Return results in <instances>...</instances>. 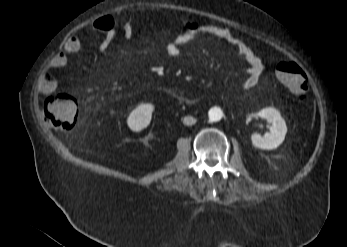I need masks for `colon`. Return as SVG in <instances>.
Instances as JSON below:
<instances>
[{"mask_svg": "<svg viewBox=\"0 0 347 247\" xmlns=\"http://www.w3.org/2000/svg\"><path fill=\"white\" fill-rule=\"evenodd\" d=\"M276 76L298 100L308 96V79L304 70L295 62H280L276 67ZM77 101L68 94L54 93L44 102V119L47 124L59 132L71 131L77 121Z\"/></svg>", "mask_w": 347, "mask_h": 247, "instance_id": "5ec220e1", "label": "colon"}]
</instances>
